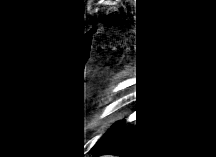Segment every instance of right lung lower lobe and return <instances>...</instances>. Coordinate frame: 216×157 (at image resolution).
I'll use <instances>...</instances> for the list:
<instances>
[{"instance_id":"98d812e1","label":"right lung lower lobe","mask_w":216,"mask_h":157,"mask_svg":"<svg viewBox=\"0 0 216 157\" xmlns=\"http://www.w3.org/2000/svg\"><path fill=\"white\" fill-rule=\"evenodd\" d=\"M157 128L145 105L136 102L118 127L100 143L94 145L90 154L94 157L111 154L117 157H154L158 154Z\"/></svg>"}]
</instances>
